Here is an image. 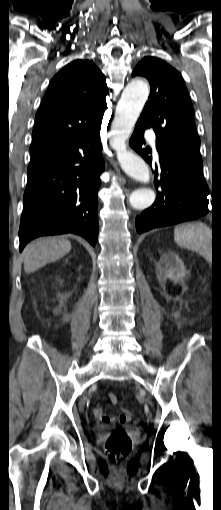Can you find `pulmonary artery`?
<instances>
[{
  "label": "pulmonary artery",
  "mask_w": 221,
  "mask_h": 510,
  "mask_svg": "<svg viewBox=\"0 0 221 510\" xmlns=\"http://www.w3.org/2000/svg\"><path fill=\"white\" fill-rule=\"evenodd\" d=\"M154 136H155V134L153 132H148L147 133V138L150 140V142L152 144V147H153L154 152H155V156H157Z\"/></svg>",
  "instance_id": "e3ab8cb5"
}]
</instances>
